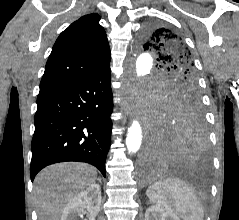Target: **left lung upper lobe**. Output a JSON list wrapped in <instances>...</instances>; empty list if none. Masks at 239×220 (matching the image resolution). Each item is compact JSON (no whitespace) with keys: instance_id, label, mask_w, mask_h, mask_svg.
<instances>
[{"instance_id":"left-lung-upper-lobe-1","label":"left lung upper lobe","mask_w":239,"mask_h":220,"mask_svg":"<svg viewBox=\"0 0 239 220\" xmlns=\"http://www.w3.org/2000/svg\"><path fill=\"white\" fill-rule=\"evenodd\" d=\"M144 49L153 51L160 67L173 76L161 98V109L168 112L183 109L202 111L197 73L185 41L168 27L149 24L142 34Z\"/></svg>"}]
</instances>
